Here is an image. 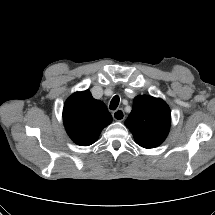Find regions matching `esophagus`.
I'll return each mask as SVG.
<instances>
[{
	"mask_svg": "<svg viewBox=\"0 0 215 215\" xmlns=\"http://www.w3.org/2000/svg\"><path fill=\"white\" fill-rule=\"evenodd\" d=\"M113 119L116 121H123L125 119V114L122 109H117L112 113Z\"/></svg>",
	"mask_w": 215,
	"mask_h": 215,
	"instance_id": "34e87169",
	"label": "esophagus"
}]
</instances>
